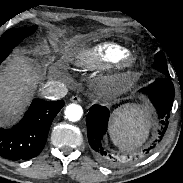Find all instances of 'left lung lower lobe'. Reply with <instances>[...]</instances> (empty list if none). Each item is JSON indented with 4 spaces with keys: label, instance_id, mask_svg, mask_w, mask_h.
<instances>
[{
    "label": "left lung lower lobe",
    "instance_id": "obj_1",
    "mask_svg": "<svg viewBox=\"0 0 183 183\" xmlns=\"http://www.w3.org/2000/svg\"><path fill=\"white\" fill-rule=\"evenodd\" d=\"M170 75H166L150 84L148 88L141 89L142 93H146L157 109V113L161 122H164V129L168 125V113L170 112L174 100V86L169 79ZM109 110L100 105H93L90 112L86 116L88 140L93 150L103 159L111 156L102 146L103 136L107 131ZM151 148L146 149L149 152Z\"/></svg>",
    "mask_w": 183,
    "mask_h": 183
}]
</instances>
